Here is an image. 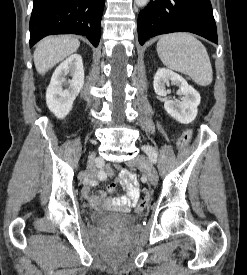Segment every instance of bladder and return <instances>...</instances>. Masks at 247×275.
I'll return each mask as SVG.
<instances>
[{
	"label": "bladder",
	"mask_w": 247,
	"mask_h": 275,
	"mask_svg": "<svg viewBox=\"0 0 247 275\" xmlns=\"http://www.w3.org/2000/svg\"><path fill=\"white\" fill-rule=\"evenodd\" d=\"M90 220L93 224L101 226L127 227L135 223L134 216L110 211H92L90 213Z\"/></svg>",
	"instance_id": "31cf9c89"
}]
</instances>
